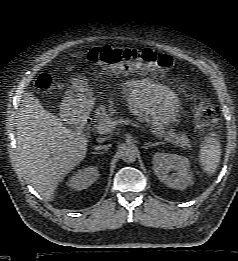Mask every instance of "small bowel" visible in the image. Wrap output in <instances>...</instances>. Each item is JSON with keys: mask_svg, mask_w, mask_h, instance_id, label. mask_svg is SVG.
Wrapping results in <instances>:
<instances>
[{"mask_svg": "<svg viewBox=\"0 0 238 261\" xmlns=\"http://www.w3.org/2000/svg\"><path fill=\"white\" fill-rule=\"evenodd\" d=\"M132 111L142 118H150L157 125L176 121L180 102L178 95L165 85L150 78L130 79L123 85Z\"/></svg>", "mask_w": 238, "mask_h": 261, "instance_id": "c3829d8e", "label": "small bowel"}]
</instances>
